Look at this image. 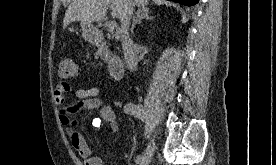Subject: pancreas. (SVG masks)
Wrapping results in <instances>:
<instances>
[{"label":"pancreas","mask_w":276,"mask_h":165,"mask_svg":"<svg viewBox=\"0 0 276 165\" xmlns=\"http://www.w3.org/2000/svg\"><path fill=\"white\" fill-rule=\"evenodd\" d=\"M103 54H104V53H102V52H97V53H96L97 56H103Z\"/></svg>","instance_id":"1"}]
</instances>
